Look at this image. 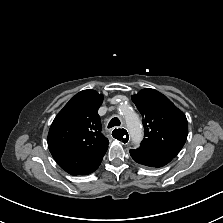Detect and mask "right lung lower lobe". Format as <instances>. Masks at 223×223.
<instances>
[{"label": "right lung lower lobe", "mask_w": 223, "mask_h": 223, "mask_svg": "<svg viewBox=\"0 0 223 223\" xmlns=\"http://www.w3.org/2000/svg\"><path fill=\"white\" fill-rule=\"evenodd\" d=\"M99 165H100V164H99ZM99 165H98L97 167H95L94 169H92L90 172H88V173H86V174H84V175H87V174H90V173L94 172V171L99 167Z\"/></svg>", "instance_id": "1"}]
</instances>
